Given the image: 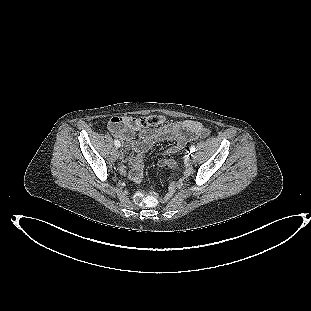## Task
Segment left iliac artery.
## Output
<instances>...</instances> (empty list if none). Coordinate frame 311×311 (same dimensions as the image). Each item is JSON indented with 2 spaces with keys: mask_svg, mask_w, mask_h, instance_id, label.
<instances>
[{
  "mask_svg": "<svg viewBox=\"0 0 311 311\" xmlns=\"http://www.w3.org/2000/svg\"><path fill=\"white\" fill-rule=\"evenodd\" d=\"M195 146L194 145H192L190 148H189V150H190V153H194L195 152Z\"/></svg>",
  "mask_w": 311,
  "mask_h": 311,
  "instance_id": "left-iliac-artery-1",
  "label": "left iliac artery"
}]
</instances>
